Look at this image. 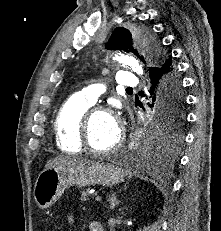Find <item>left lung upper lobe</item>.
Here are the masks:
<instances>
[{
    "label": "left lung upper lobe",
    "mask_w": 221,
    "mask_h": 231,
    "mask_svg": "<svg viewBox=\"0 0 221 231\" xmlns=\"http://www.w3.org/2000/svg\"><path fill=\"white\" fill-rule=\"evenodd\" d=\"M143 44L149 52L148 60L152 65L155 61L161 64L164 61L159 41L148 31H134L131 33L128 29L118 27L114 30L110 40L107 43L108 49L124 50L134 53L143 63H146L144 57L139 55L134 44ZM184 98L181 94L179 99L173 104L172 110L164 115L153 114L151 122V132L163 135V138L169 141H178L180 139L179 128L184 121Z\"/></svg>",
    "instance_id": "1"
}]
</instances>
